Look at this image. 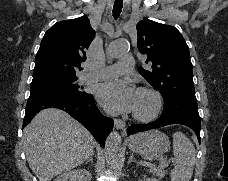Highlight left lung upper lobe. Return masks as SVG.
<instances>
[{
	"instance_id": "obj_1",
	"label": "left lung upper lobe",
	"mask_w": 228,
	"mask_h": 181,
	"mask_svg": "<svg viewBox=\"0 0 228 181\" xmlns=\"http://www.w3.org/2000/svg\"><path fill=\"white\" fill-rule=\"evenodd\" d=\"M138 49L147 56L139 73L164 99L159 117L200 124L188 45L173 26L145 19L137 24Z\"/></svg>"
}]
</instances>
